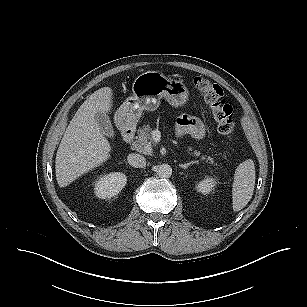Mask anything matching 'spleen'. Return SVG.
<instances>
[{
    "label": "spleen",
    "instance_id": "obj_1",
    "mask_svg": "<svg viewBox=\"0 0 307 307\" xmlns=\"http://www.w3.org/2000/svg\"><path fill=\"white\" fill-rule=\"evenodd\" d=\"M255 178V166L252 159L245 160L237 167L232 186V204L235 212L243 209L252 198Z\"/></svg>",
    "mask_w": 307,
    "mask_h": 307
}]
</instances>
